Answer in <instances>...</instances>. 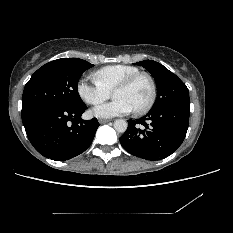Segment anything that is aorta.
<instances>
[{
    "mask_svg": "<svg viewBox=\"0 0 233 233\" xmlns=\"http://www.w3.org/2000/svg\"><path fill=\"white\" fill-rule=\"evenodd\" d=\"M127 122L122 119H118L114 122V129L119 133H124L127 129Z\"/></svg>",
    "mask_w": 233,
    "mask_h": 233,
    "instance_id": "762f6f07",
    "label": "aorta"
}]
</instances>
